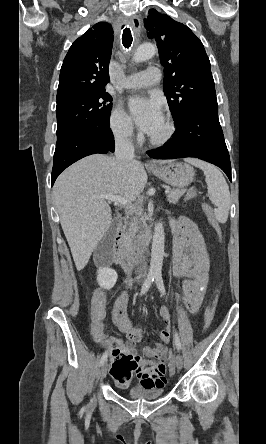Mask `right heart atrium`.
Segmentation results:
<instances>
[{"mask_svg":"<svg viewBox=\"0 0 266 444\" xmlns=\"http://www.w3.org/2000/svg\"><path fill=\"white\" fill-rule=\"evenodd\" d=\"M110 129L117 140L131 141L135 136L133 122L121 106H117L110 116Z\"/></svg>","mask_w":266,"mask_h":444,"instance_id":"1","label":"right heart atrium"}]
</instances>
